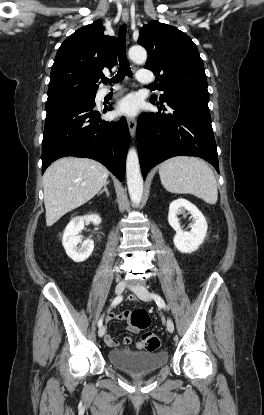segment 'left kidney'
Returning a JSON list of instances; mask_svg holds the SVG:
<instances>
[{"label":"left kidney","instance_id":"left-kidney-1","mask_svg":"<svg viewBox=\"0 0 264 415\" xmlns=\"http://www.w3.org/2000/svg\"><path fill=\"white\" fill-rule=\"evenodd\" d=\"M185 211H188L193 219L189 232L182 229L178 218V215ZM168 222L176 231L173 239L174 245L182 253L196 251L206 237L208 225L205 217L195 205L186 199L179 198L170 203Z\"/></svg>","mask_w":264,"mask_h":415}]
</instances>
